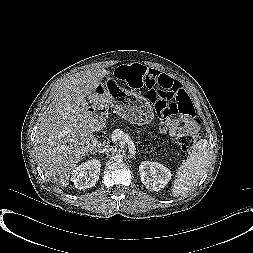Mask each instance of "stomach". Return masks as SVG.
<instances>
[{
	"label": "stomach",
	"instance_id": "0dacf381",
	"mask_svg": "<svg viewBox=\"0 0 253 253\" xmlns=\"http://www.w3.org/2000/svg\"><path fill=\"white\" fill-rule=\"evenodd\" d=\"M113 80L108 79L104 85L89 95L88 99L94 107L110 106L115 113L131 123L143 125L153 120V111L149 102L142 96L130 93L112 85Z\"/></svg>",
	"mask_w": 253,
	"mask_h": 253
}]
</instances>
